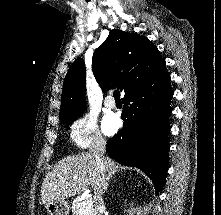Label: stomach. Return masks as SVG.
<instances>
[{"label":"stomach","instance_id":"1","mask_svg":"<svg viewBox=\"0 0 221 215\" xmlns=\"http://www.w3.org/2000/svg\"><path fill=\"white\" fill-rule=\"evenodd\" d=\"M45 208L49 215H69V205L65 200L50 202Z\"/></svg>","mask_w":221,"mask_h":215}]
</instances>
